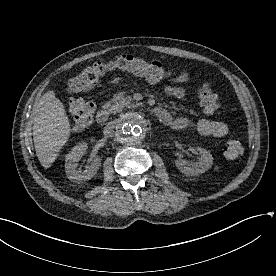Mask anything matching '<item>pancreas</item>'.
<instances>
[{"label": "pancreas", "mask_w": 276, "mask_h": 276, "mask_svg": "<svg viewBox=\"0 0 276 276\" xmlns=\"http://www.w3.org/2000/svg\"><path fill=\"white\" fill-rule=\"evenodd\" d=\"M134 106L132 98L130 96H125L124 93L115 94L114 97L107 102V108L114 114L122 111L125 107Z\"/></svg>", "instance_id": "pancreas-1"}]
</instances>
